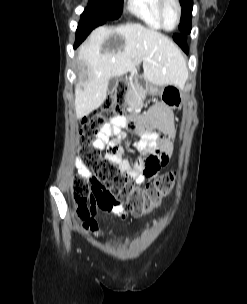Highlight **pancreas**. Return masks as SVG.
Listing matches in <instances>:
<instances>
[{
  "label": "pancreas",
  "mask_w": 247,
  "mask_h": 304,
  "mask_svg": "<svg viewBox=\"0 0 247 304\" xmlns=\"http://www.w3.org/2000/svg\"><path fill=\"white\" fill-rule=\"evenodd\" d=\"M130 85L136 88L127 90L125 95V103L128 105L129 110L140 109L144 104V100L146 99L147 94L154 93L155 89L153 87L144 89L142 86H138L137 83H131Z\"/></svg>",
  "instance_id": "pancreas-1"
}]
</instances>
